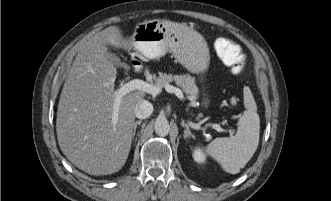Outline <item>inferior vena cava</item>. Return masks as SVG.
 Here are the masks:
<instances>
[{"instance_id": "inferior-vena-cava-1", "label": "inferior vena cava", "mask_w": 331, "mask_h": 201, "mask_svg": "<svg viewBox=\"0 0 331 201\" xmlns=\"http://www.w3.org/2000/svg\"><path fill=\"white\" fill-rule=\"evenodd\" d=\"M153 112V105L147 101H140L135 108V116L139 119L148 118Z\"/></svg>"}]
</instances>
